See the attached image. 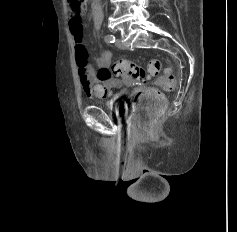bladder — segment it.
<instances>
[{
  "label": "bladder",
  "mask_w": 237,
  "mask_h": 232,
  "mask_svg": "<svg viewBox=\"0 0 237 232\" xmlns=\"http://www.w3.org/2000/svg\"><path fill=\"white\" fill-rule=\"evenodd\" d=\"M124 96V93H122ZM108 108L112 109L116 115L120 117H124L126 115L127 110V102L124 99H118L111 103L106 104Z\"/></svg>",
  "instance_id": "bladder-1"
}]
</instances>
